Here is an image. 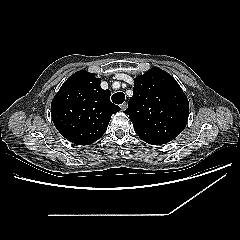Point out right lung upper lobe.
Masks as SVG:
<instances>
[{"instance_id": "right-lung-upper-lobe-1", "label": "right lung upper lobe", "mask_w": 240, "mask_h": 240, "mask_svg": "<svg viewBox=\"0 0 240 240\" xmlns=\"http://www.w3.org/2000/svg\"><path fill=\"white\" fill-rule=\"evenodd\" d=\"M101 80L87 71L71 75L51 103L55 127L70 142L89 145L106 131L111 115L120 107L110 101L111 92L103 90Z\"/></svg>"}]
</instances>
